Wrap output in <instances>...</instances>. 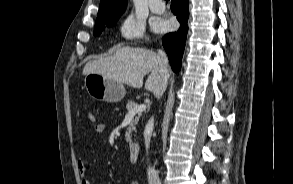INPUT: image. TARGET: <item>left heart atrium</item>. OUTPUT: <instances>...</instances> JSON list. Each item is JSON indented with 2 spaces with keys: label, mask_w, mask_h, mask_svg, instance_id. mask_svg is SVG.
I'll return each instance as SVG.
<instances>
[{
  "label": "left heart atrium",
  "mask_w": 293,
  "mask_h": 184,
  "mask_svg": "<svg viewBox=\"0 0 293 184\" xmlns=\"http://www.w3.org/2000/svg\"><path fill=\"white\" fill-rule=\"evenodd\" d=\"M165 28H166V24H164V23H160L158 26L159 30H164Z\"/></svg>",
  "instance_id": "39dd6f15"
}]
</instances>
